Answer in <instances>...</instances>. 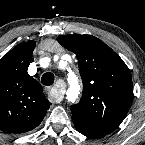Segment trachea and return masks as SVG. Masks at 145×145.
<instances>
[{"label": "trachea", "instance_id": "1", "mask_svg": "<svg viewBox=\"0 0 145 145\" xmlns=\"http://www.w3.org/2000/svg\"><path fill=\"white\" fill-rule=\"evenodd\" d=\"M41 82L43 85H52L54 83V75L51 72H46L41 77Z\"/></svg>", "mask_w": 145, "mask_h": 145}]
</instances>
